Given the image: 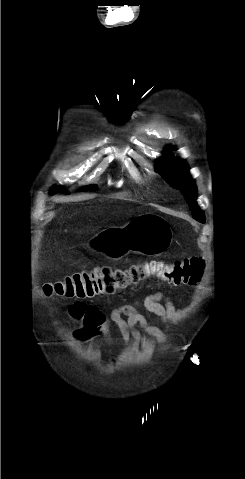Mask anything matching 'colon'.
<instances>
[{
  "label": "colon",
  "mask_w": 245,
  "mask_h": 479,
  "mask_svg": "<svg viewBox=\"0 0 245 479\" xmlns=\"http://www.w3.org/2000/svg\"><path fill=\"white\" fill-rule=\"evenodd\" d=\"M204 266V259L198 256L173 262L153 260L126 269L105 266L73 273L47 283L43 292L50 297L85 299L122 291L149 277L174 285H194L201 279ZM85 305L73 304L70 307L71 315L77 320H86Z\"/></svg>",
  "instance_id": "5ec220e1"
}]
</instances>
